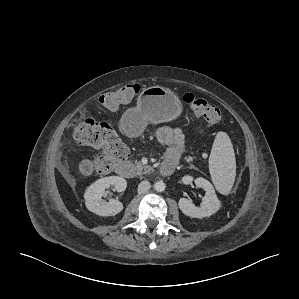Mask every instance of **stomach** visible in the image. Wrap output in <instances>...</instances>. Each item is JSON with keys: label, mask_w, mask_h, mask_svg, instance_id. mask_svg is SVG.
Segmentation results:
<instances>
[{"label": "stomach", "mask_w": 299, "mask_h": 299, "mask_svg": "<svg viewBox=\"0 0 299 299\" xmlns=\"http://www.w3.org/2000/svg\"><path fill=\"white\" fill-rule=\"evenodd\" d=\"M182 110V103L173 91L161 86L148 87L139 94L137 106L123 115V128L128 135L138 136L148 123L172 121L181 115Z\"/></svg>", "instance_id": "stomach-1"}]
</instances>
